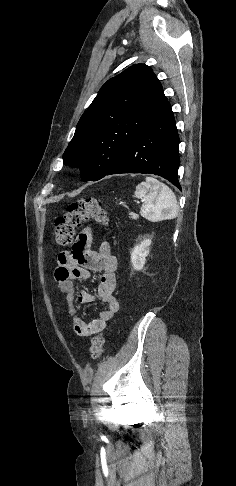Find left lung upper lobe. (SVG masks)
<instances>
[{"mask_svg": "<svg viewBox=\"0 0 236 486\" xmlns=\"http://www.w3.org/2000/svg\"><path fill=\"white\" fill-rule=\"evenodd\" d=\"M169 102L145 64L109 79L80 118L63 162L81 169L83 181L103 178L132 140L164 112Z\"/></svg>", "mask_w": 236, "mask_h": 486, "instance_id": "1", "label": "left lung upper lobe"}]
</instances>
